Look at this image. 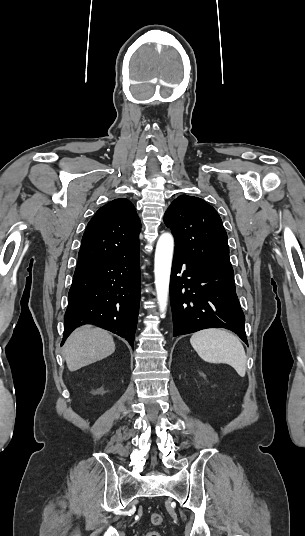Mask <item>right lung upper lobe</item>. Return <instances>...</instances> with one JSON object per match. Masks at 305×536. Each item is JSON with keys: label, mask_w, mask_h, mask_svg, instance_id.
<instances>
[{"label": "right lung upper lobe", "mask_w": 305, "mask_h": 536, "mask_svg": "<svg viewBox=\"0 0 305 536\" xmlns=\"http://www.w3.org/2000/svg\"><path fill=\"white\" fill-rule=\"evenodd\" d=\"M140 219L126 198L101 207L89 221L82 238L76 268L139 252Z\"/></svg>", "instance_id": "1"}]
</instances>
